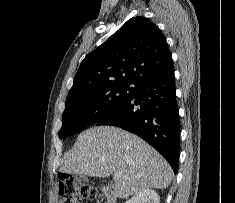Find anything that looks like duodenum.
I'll return each instance as SVG.
<instances>
[{
  "mask_svg": "<svg viewBox=\"0 0 235 203\" xmlns=\"http://www.w3.org/2000/svg\"><path fill=\"white\" fill-rule=\"evenodd\" d=\"M102 191L105 198V203H117V198L110 188L103 187Z\"/></svg>",
  "mask_w": 235,
  "mask_h": 203,
  "instance_id": "410a0bca",
  "label": "duodenum"
}]
</instances>
